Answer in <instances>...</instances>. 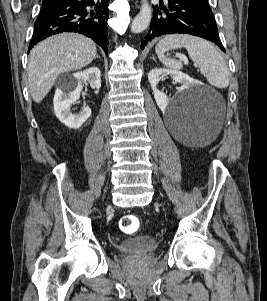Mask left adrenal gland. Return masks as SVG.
Instances as JSON below:
<instances>
[{
    "label": "left adrenal gland",
    "mask_w": 267,
    "mask_h": 301,
    "mask_svg": "<svg viewBox=\"0 0 267 301\" xmlns=\"http://www.w3.org/2000/svg\"><path fill=\"white\" fill-rule=\"evenodd\" d=\"M151 59H153L156 62V59H155L154 55H152Z\"/></svg>",
    "instance_id": "obj_1"
}]
</instances>
